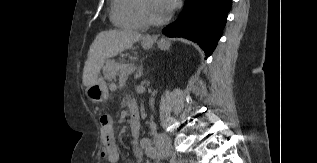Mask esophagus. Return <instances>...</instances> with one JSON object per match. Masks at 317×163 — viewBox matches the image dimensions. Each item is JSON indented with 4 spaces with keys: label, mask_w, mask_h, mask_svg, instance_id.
<instances>
[{
    "label": "esophagus",
    "mask_w": 317,
    "mask_h": 163,
    "mask_svg": "<svg viewBox=\"0 0 317 163\" xmlns=\"http://www.w3.org/2000/svg\"><path fill=\"white\" fill-rule=\"evenodd\" d=\"M144 39H145L146 41H152V40H153V38H152L151 36H146Z\"/></svg>",
    "instance_id": "esophagus-1"
}]
</instances>
